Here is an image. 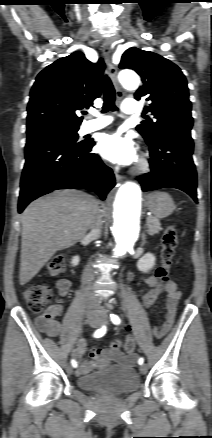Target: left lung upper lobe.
Segmentation results:
<instances>
[{
	"mask_svg": "<svg viewBox=\"0 0 212 438\" xmlns=\"http://www.w3.org/2000/svg\"><path fill=\"white\" fill-rule=\"evenodd\" d=\"M119 67L133 69L141 76L143 84L135 98L150 102L145 110L154 120L147 118L136 129L147 142L160 134L191 131L187 81L177 65L156 53L132 47L123 54Z\"/></svg>",
	"mask_w": 212,
	"mask_h": 438,
	"instance_id": "1",
	"label": "left lung upper lobe"
}]
</instances>
